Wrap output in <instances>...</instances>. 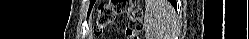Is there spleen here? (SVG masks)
Masks as SVG:
<instances>
[{
	"instance_id": "spleen-1",
	"label": "spleen",
	"mask_w": 249,
	"mask_h": 39,
	"mask_svg": "<svg viewBox=\"0 0 249 39\" xmlns=\"http://www.w3.org/2000/svg\"><path fill=\"white\" fill-rule=\"evenodd\" d=\"M144 28L147 39H169L172 34V8L167 0H147Z\"/></svg>"
}]
</instances>
